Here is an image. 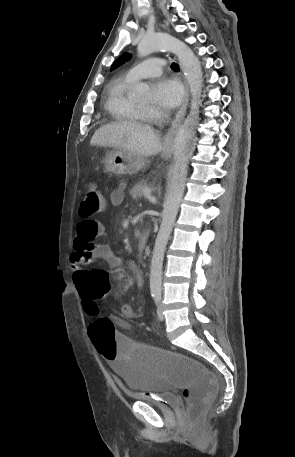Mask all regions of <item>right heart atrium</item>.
<instances>
[{"label":"right heart atrium","mask_w":295,"mask_h":457,"mask_svg":"<svg viewBox=\"0 0 295 457\" xmlns=\"http://www.w3.org/2000/svg\"><path fill=\"white\" fill-rule=\"evenodd\" d=\"M144 112H145L147 119H156L161 116V112L152 107L144 108Z\"/></svg>","instance_id":"right-heart-atrium-1"}]
</instances>
